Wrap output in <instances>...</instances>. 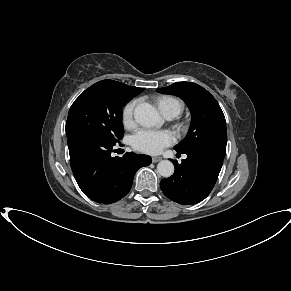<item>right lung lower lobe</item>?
<instances>
[{
	"label": "right lung lower lobe",
	"mask_w": 291,
	"mask_h": 291,
	"mask_svg": "<svg viewBox=\"0 0 291 291\" xmlns=\"http://www.w3.org/2000/svg\"><path fill=\"white\" fill-rule=\"evenodd\" d=\"M66 135L75 179L83 193L98 203L110 204L127 195L135 172L151 163L150 156L133 152L112 157L115 144L91 134Z\"/></svg>",
	"instance_id": "1"
}]
</instances>
